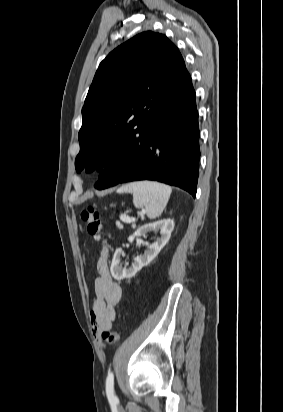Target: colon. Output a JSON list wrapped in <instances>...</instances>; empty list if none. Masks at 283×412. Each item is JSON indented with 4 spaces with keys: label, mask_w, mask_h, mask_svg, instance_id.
<instances>
[{
    "label": "colon",
    "mask_w": 283,
    "mask_h": 412,
    "mask_svg": "<svg viewBox=\"0 0 283 412\" xmlns=\"http://www.w3.org/2000/svg\"><path fill=\"white\" fill-rule=\"evenodd\" d=\"M79 218L84 224L87 234L98 239L102 232L98 209L93 206L83 208L79 211ZM101 338L107 345H116L119 342V334L115 330H104Z\"/></svg>",
    "instance_id": "1"
}]
</instances>
